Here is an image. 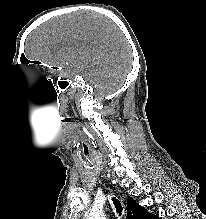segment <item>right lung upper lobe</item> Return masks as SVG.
I'll return each instance as SVG.
<instances>
[{
  "label": "right lung upper lobe",
  "instance_id": "right-lung-upper-lobe-1",
  "mask_svg": "<svg viewBox=\"0 0 206 219\" xmlns=\"http://www.w3.org/2000/svg\"><path fill=\"white\" fill-rule=\"evenodd\" d=\"M127 219H156L157 216L149 213L143 207L135 203V201L130 197L127 204Z\"/></svg>",
  "mask_w": 206,
  "mask_h": 219
}]
</instances>
